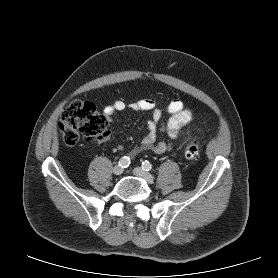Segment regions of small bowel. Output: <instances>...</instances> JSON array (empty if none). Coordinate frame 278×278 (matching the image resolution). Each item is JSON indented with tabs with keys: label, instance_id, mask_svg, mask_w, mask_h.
I'll return each mask as SVG.
<instances>
[{
	"label": "small bowel",
	"instance_id": "small-bowel-1",
	"mask_svg": "<svg viewBox=\"0 0 278 278\" xmlns=\"http://www.w3.org/2000/svg\"><path fill=\"white\" fill-rule=\"evenodd\" d=\"M134 111H150L152 117L147 124V133L143 136L140 146L132 149L129 156L133 157L142 151H150L153 153H164L171 148V142L166 140H157L159 131L164 132L171 140L178 138L182 129L193 119V113L185 107L184 103L179 99H173L168 105V118L162 120V111L157 107L156 102L152 98H144L136 100L129 105L125 102L117 100L104 108L107 118H110L117 112L124 111L126 108ZM109 132H105L99 139L107 140Z\"/></svg>",
	"mask_w": 278,
	"mask_h": 278
}]
</instances>
